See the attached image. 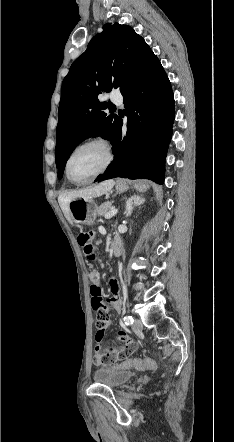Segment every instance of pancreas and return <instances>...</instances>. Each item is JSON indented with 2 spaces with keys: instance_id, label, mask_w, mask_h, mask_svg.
Here are the masks:
<instances>
[{
  "instance_id": "1",
  "label": "pancreas",
  "mask_w": 234,
  "mask_h": 442,
  "mask_svg": "<svg viewBox=\"0 0 234 442\" xmlns=\"http://www.w3.org/2000/svg\"><path fill=\"white\" fill-rule=\"evenodd\" d=\"M112 208H113L112 202H109V201L108 202H104L97 209V215L98 216H103L106 213H108Z\"/></svg>"
}]
</instances>
